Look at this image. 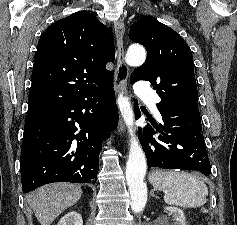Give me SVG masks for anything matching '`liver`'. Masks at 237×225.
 I'll list each match as a JSON object with an SVG mask.
<instances>
[{
    "instance_id": "6515ba94",
    "label": "liver",
    "mask_w": 237,
    "mask_h": 225,
    "mask_svg": "<svg viewBox=\"0 0 237 225\" xmlns=\"http://www.w3.org/2000/svg\"><path fill=\"white\" fill-rule=\"evenodd\" d=\"M82 195L80 185L54 183L37 188L27 196V202L41 225L51 223Z\"/></svg>"
}]
</instances>
